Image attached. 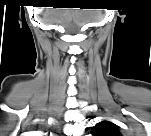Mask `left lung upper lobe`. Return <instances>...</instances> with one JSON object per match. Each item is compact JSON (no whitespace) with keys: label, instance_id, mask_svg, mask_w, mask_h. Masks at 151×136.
<instances>
[{"label":"left lung upper lobe","instance_id":"left-lung-upper-lobe-1","mask_svg":"<svg viewBox=\"0 0 151 136\" xmlns=\"http://www.w3.org/2000/svg\"><path fill=\"white\" fill-rule=\"evenodd\" d=\"M93 136H120L117 125L110 121H101L92 130Z\"/></svg>","mask_w":151,"mask_h":136}]
</instances>
